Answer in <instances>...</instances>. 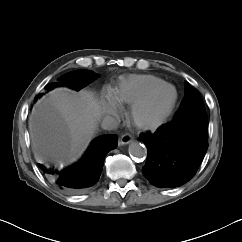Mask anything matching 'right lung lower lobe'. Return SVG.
Returning a JSON list of instances; mask_svg holds the SVG:
<instances>
[{
	"mask_svg": "<svg viewBox=\"0 0 242 242\" xmlns=\"http://www.w3.org/2000/svg\"><path fill=\"white\" fill-rule=\"evenodd\" d=\"M118 137L102 135L92 141L82 158L64 169L38 164L47 179L58 189L79 193L93 186L99 179L107 153L116 148Z\"/></svg>",
	"mask_w": 242,
	"mask_h": 242,
	"instance_id": "obj_1",
	"label": "right lung lower lobe"
}]
</instances>
